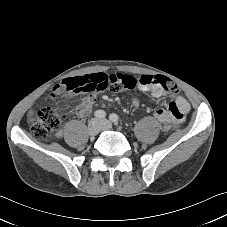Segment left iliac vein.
Segmentation results:
<instances>
[{
  "instance_id": "4c4485c4",
  "label": "left iliac vein",
  "mask_w": 227,
  "mask_h": 227,
  "mask_svg": "<svg viewBox=\"0 0 227 227\" xmlns=\"http://www.w3.org/2000/svg\"><path fill=\"white\" fill-rule=\"evenodd\" d=\"M100 125L102 130H109L111 128V123L107 120H100Z\"/></svg>"
}]
</instances>
